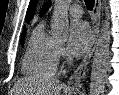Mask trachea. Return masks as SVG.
Masks as SVG:
<instances>
[{
  "label": "trachea",
  "mask_w": 119,
  "mask_h": 95,
  "mask_svg": "<svg viewBox=\"0 0 119 95\" xmlns=\"http://www.w3.org/2000/svg\"><path fill=\"white\" fill-rule=\"evenodd\" d=\"M94 3H95L94 0H85V4H86L88 10H92L93 9Z\"/></svg>",
  "instance_id": "trachea-1"
}]
</instances>
